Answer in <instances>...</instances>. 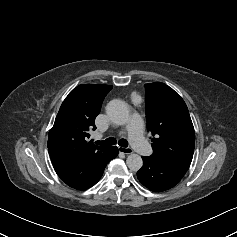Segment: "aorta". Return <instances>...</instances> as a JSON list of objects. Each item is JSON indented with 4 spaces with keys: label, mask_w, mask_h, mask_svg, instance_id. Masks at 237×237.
<instances>
[{
    "label": "aorta",
    "mask_w": 237,
    "mask_h": 237,
    "mask_svg": "<svg viewBox=\"0 0 237 237\" xmlns=\"http://www.w3.org/2000/svg\"><path fill=\"white\" fill-rule=\"evenodd\" d=\"M106 113L110 120L117 125H124L129 118V110L126 103L122 100L114 99L106 106ZM129 169L137 171L143 165V160L138 154H130L126 159Z\"/></svg>",
    "instance_id": "1"
}]
</instances>
